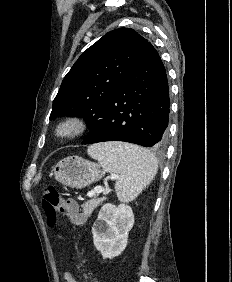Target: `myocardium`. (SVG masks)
<instances>
[{"instance_id":"myocardium-1","label":"myocardium","mask_w":232,"mask_h":282,"mask_svg":"<svg viewBox=\"0 0 232 282\" xmlns=\"http://www.w3.org/2000/svg\"><path fill=\"white\" fill-rule=\"evenodd\" d=\"M88 129L87 120L80 115H69L55 126L54 135L58 140L71 141L81 137Z\"/></svg>"}]
</instances>
